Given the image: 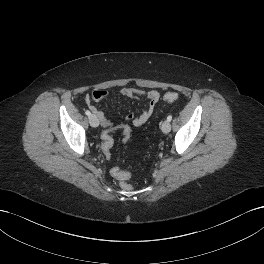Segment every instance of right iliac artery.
I'll return each mask as SVG.
<instances>
[{
    "mask_svg": "<svg viewBox=\"0 0 264 264\" xmlns=\"http://www.w3.org/2000/svg\"><path fill=\"white\" fill-rule=\"evenodd\" d=\"M85 114H86L87 116H90V115H91V112H90L89 110H86V111H85Z\"/></svg>",
    "mask_w": 264,
    "mask_h": 264,
    "instance_id": "obj_1",
    "label": "right iliac artery"
}]
</instances>
